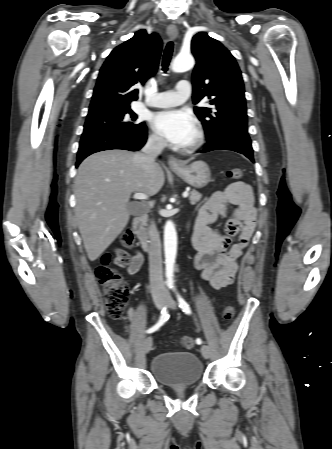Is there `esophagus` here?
Returning <instances> with one entry per match:
<instances>
[{"label":"esophagus","instance_id":"34e87169","mask_svg":"<svg viewBox=\"0 0 332 449\" xmlns=\"http://www.w3.org/2000/svg\"><path fill=\"white\" fill-rule=\"evenodd\" d=\"M167 35L169 36L170 39H176L178 36V29L174 24H170L167 27ZM168 165L171 168H181L183 165L181 163V161H179L176 157L174 156H170L168 159Z\"/></svg>","mask_w":332,"mask_h":449}]
</instances>
